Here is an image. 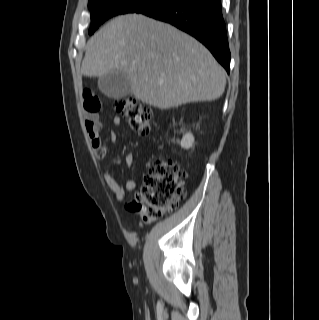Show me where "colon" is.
<instances>
[{
    "mask_svg": "<svg viewBox=\"0 0 319 320\" xmlns=\"http://www.w3.org/2000/svg\"><path fill=\"white\" fill-rule=\"evenodd\" d=\"M116 110L130 128L146 136L150 134L153 112L145 103L129 97L116 102ZM184 169L172 159H153L148 164L144 185L128 204L145 223L155 221L162 214L173 210L185 198Z\"/></svg>",
    "mask_w": 319,
    "mask_h": 320,
    "instance_id": "colon-1",
    "label": "colon"
}]
</instances>
